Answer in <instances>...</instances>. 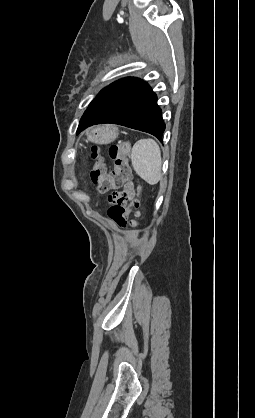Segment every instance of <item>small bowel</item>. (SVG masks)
<instances>
[{"label":"small bowel","instance_id":"obj_1","mask_svg":"<svg viewBox=\"0 0 255 418\" xmlns=\"http://www.w3.org/2000/svg\"><path fill=\"white\" fill-rule=\"evenodd\" d=\"M132 194H133L132 186H131V184H128L126 186L125 196L130 197V196H132Z\"/></svg>","mask_w":255,"mask_h":418}]
</instances>
